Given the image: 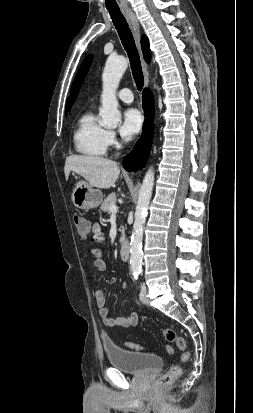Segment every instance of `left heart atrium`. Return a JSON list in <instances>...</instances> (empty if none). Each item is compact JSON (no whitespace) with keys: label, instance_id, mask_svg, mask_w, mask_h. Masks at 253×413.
I'll return each mask as SVG.
<instances>
[{"label":"left heart atrium","instance_id":"1","mask_svg":"<svg viewBox=\"0 0 253 413\" xmlns=\"http://www.w3.org/2000/svg\"><path fill=\"white\" fill-rule=\"evenodd\" d=\"M141 126L142 116L140 112L135 108H129L123 113L119 133L123 139L130 140L139 133Z\"/></svg>","mask_w":253,"mask_h":413}]
</instances>
